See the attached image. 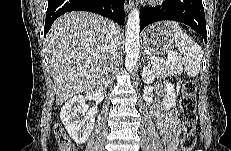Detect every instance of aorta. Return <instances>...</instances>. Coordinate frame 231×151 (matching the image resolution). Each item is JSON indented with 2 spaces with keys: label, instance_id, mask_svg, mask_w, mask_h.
<instances>
[{
  "label": "aorta",
  "instance_id": "1",
  "mask_svg": "<svg viewBox=\"0 0 231 151\" xmlns=\"http://www.w3.org/2000/svg\"><path fill=\"white\" fill-rule=\"evenodd\" d=\"M140 13L134 8L127 20L125 31V66L129 71H132L139 59L140 54Z\"/></svg>",
  "mask_w": 231,
  "mask_h": 151
}]
</instances>
